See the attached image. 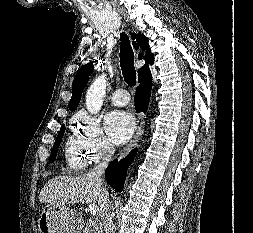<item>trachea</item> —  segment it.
Segmentation results:
<instances>
[{"label": "trachea", "mask_w": 253, "mask_h": 233, "mask_svg": "<svg viewBox=\"0 0 253 233\" xmlns=\"http://www.w3.org/2000/svg\"><path fill=\"white\" fill-rule=\"evenodd\" d=\"M120 66L125 82L129 86L136 85V71L134 67V53L128 36L121 34Z\"/></svg>", "instance_id": "trachea-1"}]
</instances>
